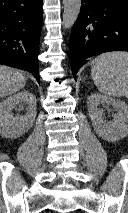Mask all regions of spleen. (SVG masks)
Masks as SVG:
<instances>
[{
	"label": "spleen",
	"mask_w": 128,
	"mask_h": 213,
	"mask_svg": "<svg viewBox=\"0 0 128 213\" xmlns=\"http://www.w3.org/2000/svg\"><path fill=\"white\" fill-rule=\"evenodd\" d=\"M92 64L91 76L100 93L128 98V52L104 53Z\"/></svg>",
	"instance_id": "spleen-1"
}]
</instances>
